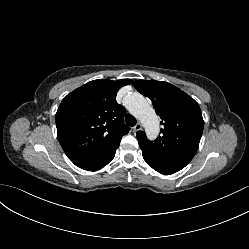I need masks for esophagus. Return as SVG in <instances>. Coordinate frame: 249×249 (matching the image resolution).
Listing matches in <instances>:
<instances>
[{
  "instance_id": "34e87169",
  "label": "esophagus",
  "mask_w": 249,
  "mask_h": 249,
  "mask_svg": "<svg viewBox=\"0 0 249 249\" xmlns=\"http://www.w3.org/2000/svg\"><path fill=\"white\" fill-rule=\"evenodd\" d=\"M141 129H142V124L138 122V123L133 127V132L140 131Z\"/></svg>"
}]
</instances>
